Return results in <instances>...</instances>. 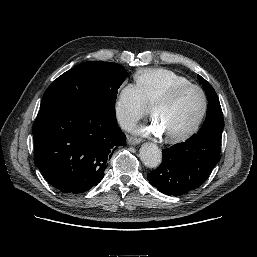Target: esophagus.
<instances>
[{
    "label": "esophagus",
    "mask_w": 257,
    "mask_h": 257,
    "mask_svg": "<svg viewBox=\"0 0 257 257\" xmlns=\"http://www.w3.org/2000/svg\"><path fill=\"white\" fill-rule=\"evenodd\" d=\"M141 142L140 138L128 136L127 137V143L130 145H137Z\"/></svg>",
    "instance_id": "esophagus-1"
}]
</instances>
